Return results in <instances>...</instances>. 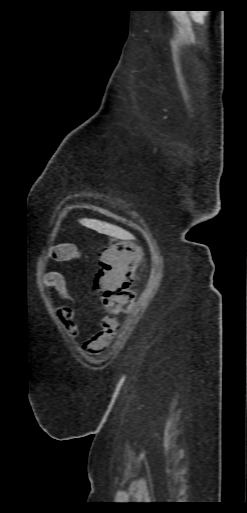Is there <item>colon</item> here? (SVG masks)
Returning <instances> with one entry per match:
<instances>
[{
    "mask_svg": "<svg viewBox=\"0 0 247 513\" xmlns=\"http://www.w3.org/2000/svg\"><path fill=\"white\" fill-rule=\"evenodd\" d=\"M139 262L138 246L130 242L108 245L100 253L94 289L108 312L120 313L131 306Z\"/></svg>",
    "mask_w": 247,
    "mask_h": 513,
    "instance_id": "1",
    "label": "colon"
}]
</instances>
